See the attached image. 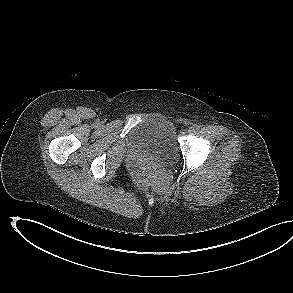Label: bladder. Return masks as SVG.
Wrapping results in <instances>:
<instances>
[{
  "instance_id": "31cf9c89",
  "label": "bladder",
  "mask_w": 293,
  "mask_h": 293,
  "mask_svg": "<svg viewBox=\"0 0 293 293\" xmlns=\"http://www.w3.org/2000/svg\"><path fill=\"white\" fill-rule=\"evenodd\" d=\"M131 143L158 164L174 162L179 153L175 128L164 117H149L130 132Z\"/></svg>"
}]
</instances>
